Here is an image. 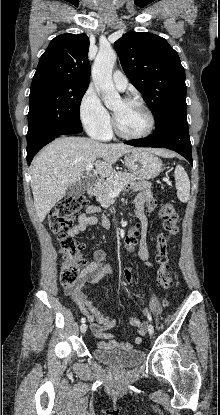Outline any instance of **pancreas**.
Listing matches in <instances>:
<instances>
[{
	"label": "pancreas",
	"instance_id": "obj_1",
	"mask_svg": "<svg viewBox=\"0 0 220 415\" xmlns=\"http://www.w3.org/2000/svg\"><path fill=\"white\" fill-rule=\"evenodd\" d=\"M136 177L133 174L121 171H113L111 172L106 180L100 181L95 186V195L98 202L102 205H106L110 200L108 193L110 191H114L116 189H124L128 185L136 184Z\"/></svg>",
	"mask_w": 220,
	"mask_h": 415
}]
</instances>
